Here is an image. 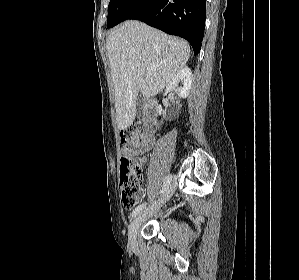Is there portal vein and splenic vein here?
<instances>
[{
    "instance_id": "18ae733b",
    "label": "portal vein and splenic vein",
    "mask_w": 299,
    "mask_h": 280,
    "mask_svg": "<svg viewBox=\"0 0 299 280\" xmlns=\"http://www.w3.org/2000/svg\"><path fill=\"white\" fill-rule=\"evenodd\" d=\"M139 72H140L141 75H145L146 73H147L148 75H151V74H152V71H151V70L148 71V72H146L145 69H141Z\"/></svg>"
}]
</instances>
